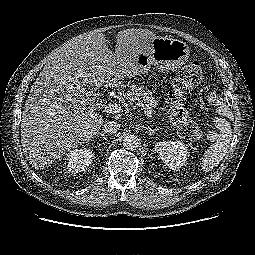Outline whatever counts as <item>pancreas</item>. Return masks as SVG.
<instances>
[{
	"instance_id": "obj_1",
	"label": "pancreas",
	"mask_w": 255,
	"mask_h": 255,
	"mask_svg": "<svg viewBox=\"0 0 255 255\" xmlns=\"http://www.w3.org/2000/svg\"><path fill=\"white\" fill-rule=\"evenodd\" d=\"M125 98L129 101H142L146 103L150 108L157 107L156 98L149 89H145L143 86L132 85L125 93Z\"/></svg>"
}]
</instances>
